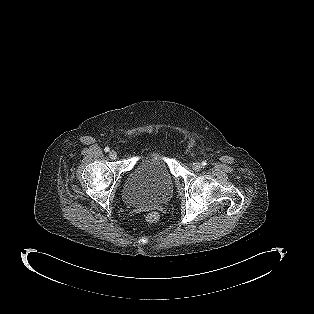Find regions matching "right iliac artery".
<instances>
[{
    "mask_svg": "<svg viewBox=\"0 0 314 314\" xmlns=\"http://www.w3.org/2000/svg\"><path fill=\"white\" fill-rule=\"evenodd\" d=\"M105 152H109L110 151V148L109 147H105Z\"/></svg>",
    "mask_w": 314,
    "mask_h": 314,
    "instance_id": "right-iliac-artery-1",
    "label": "right iliac artery"
}]
</instances>
